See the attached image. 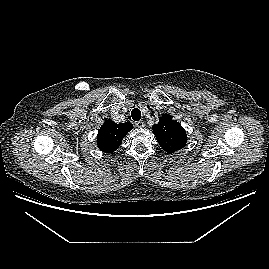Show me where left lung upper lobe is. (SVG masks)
<instances>
[{"mask_svg": "<svg viewBox=\"0 0 269 269\" xmlns=\"http://www.w3.org/2000/svg\"><path fill=\"white\" fill-rule=\"evenodd\" d=\"M152 129L157 142L167 153H174L186 145L187 134L184 128L169 114H163Z\"/></svg>", "mask_w": 269, "mask_h": 269, "instance_id": "left-lung-upper-lobe-1", "label": "left lung upper lobe"}]
</instances>
